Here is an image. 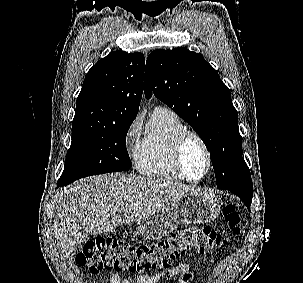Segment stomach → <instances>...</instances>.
<instances>
[{"label":"stomach","instance_id":"stomach-1","mask_svg":"<svg viewBox=\"0 0 303 283\" xmlns=\"http://www.w3.org/2000/svg\"><path fill=\"white\" fill-rule=\"evenodd\" d=\"M221 208L220 199L212 193L199 191L172 200L162 210L137 222L138 233L148 240H159L179 224H204L213 221Z\"/></svg>","mask_w":303,"mask_h":283}]
</instances>
